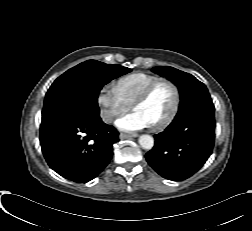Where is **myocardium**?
<instances>
[{
	"instance_id": "1",
	"label": "myocardium",
	"mask_w": 252,
	"mask_h": 231,
	"mask_svg": "<svg viewBox=\"0 0 252 231\" xmlns=\"http://www.w3.org/2000/svg\"><path fill=\"white\" fill-rule=\"evenodd\" d=\"M161 82H167L171 85V87L173 89V93H174V101H173L172 108H171L170 112L167 114V116L162 121H160L158 124L153 125V126H149L150 129L154 132L160 131V130L166 128L174 120V118L176 117V115L179 111V107H180V103H181V92H180V89H179V86L177 85V83L174 80H172L171 78L159 77L158 79H156L155 81L150 83L131 104V108L134 110V108L137 105L142 104L143 102H145L149 98L153 89Z\"/></svg>"
}]
</instances>
